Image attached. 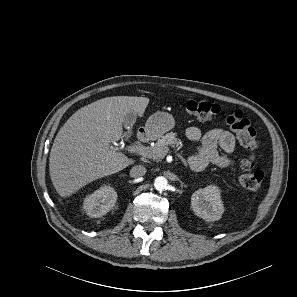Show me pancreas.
Masks as SVG:
<instances>
[{
    "label": "pancreas",
    "instance_id": "obj_1",
    "mask_svg": "<svg viewBox=\"0 0 297 297\" xmlns=\"http://www.w3.org/2000/svg\"><path fill=\"white\" fill-rule=\"evenodd\" d=\"M168 146L173 148L177 147L178 149L182 147V141L177 138V133L170 132L162 136L161 139H158L156 144L153 147H150L152 155L148 158H151L152 160L163 159L169 152Z\"/></svg>",
    "mask_w": 297,
    "mask_h": 297
}]
</instances>
